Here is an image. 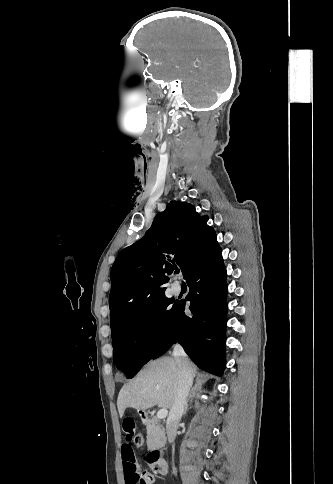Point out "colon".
I'll use <instances>...</instances> for the list:
<instances>
[{
    "instance_id": "1",
    "label": "colon",
    "mask_w": 333,
    "mask_h": 484,
    "mask_svg": "<svg viewBox=\"0 0 333 484\" xmlns=\"http://www.w3.org/2000/svg\"><path fill=\"white\" fill-rule=\"evenodd\" d=\"M133 442L136 446H142L143 443H144V436L142 433H137L134 437H133Z\"/></svg>"
}]
</instances>
